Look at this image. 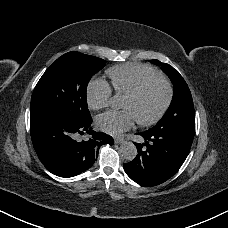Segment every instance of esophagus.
Returning a JSON list of instances; mask_svg holds the SVG:
<instances>
[{"mask_svg":"<svg viewBox=\"0 0 228 228\" xmlns=\"http://www.w3.org/2000/svg\"><path fill=\"white\" fill-rule=\"evenodd\" d=\"M115 144H121L123 142L122 138H115L114 139Z\"/></svg>","mask_w":228,"mask_h":228,"instance_id":"1","label":"esophagus"}]
</instances>
